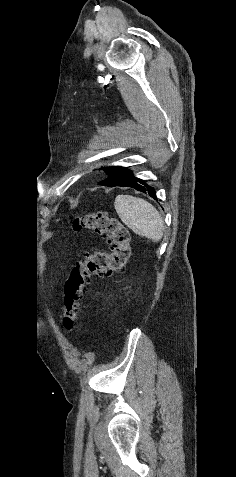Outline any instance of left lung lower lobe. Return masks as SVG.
I'll return each mask as SVG.
<instances>
[{
  "label": "left lung lower lobe",
  "instance_id": "1",
  "mask_svg": "<svg viewBox=\"0 0 236 477\" xmlns=\"http://www.w3.org/2000/svg\"><path fill=\"white\" fill-rule=\"evenodd\" d=\"M115 186H120V187H130V188H133L137 191H140V192H143L145 194H148L149 196H151L152 198L154 199H157L156 197V193H155V190L154 188H152L151 186H149L145 181H143L142 179H139L137 177H135L133 174L130 175V177L122 182V183H118L117 185ZM114 186V187H115Z\"/></svg>",
  "mask_w": 236,
  "mask_h": 477
}]
</instances>
